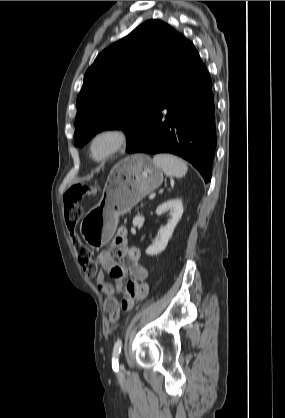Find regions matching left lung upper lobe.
<instances>
[{"mask_svg":"<svg viewBox=\"0 0 285 418\" xmlns=\"http://www.w3.org/2000/svg\"><path fill=\"white\" fill-rule=\"evenodd\" d=\"M184 36L160 20H148L115 42L86 71L77 98L74 145L96 133L121 129L127 151L146 129L162 87L182 49Z\"/></svg>","mask_w":285,"mask_h":418,"instance_id":"1","label":"left lung upper lobe"}]
</instances>
